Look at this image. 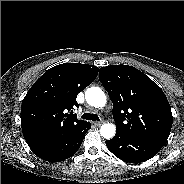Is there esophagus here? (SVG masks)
<instances>
[{
    "label": "esophagus",
    "mask_w": 184,
    "mask_h": 184,
    "mask_svg": "<svg viewBox=\"0 0 184 184\" xmlns=\"http://www.w3.org/2000/svg\"><path fill=\"white\" fill-rule=\"evenodd\" d=\"M93 124H94L95 126H100V125H102V122H93Z\"/></svg>",
    "instance_id": "1"
}]
</instances>
